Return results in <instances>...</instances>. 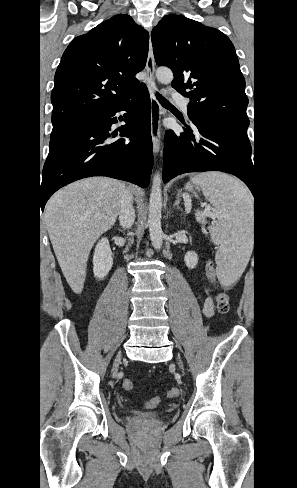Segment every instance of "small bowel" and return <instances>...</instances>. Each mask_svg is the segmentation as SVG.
Masks as SVG:
<instances>
[{
  "instance_id": "small-bowel-1",
  "label": "small bowel",
  "mask_w": 297,
  "mask_h": 488,
  "mask_svg": "<svg viewBox=\"0 0 297 488\" xmlns=\"http://www.w3.org/2000/svg\"><path fill=\"white\" fill-rule=\"evenodd\" d=\"M208 290V295L202 299V311L205 317L210 318L214 314V301Z\"/></svg>"
}]
</instances>
